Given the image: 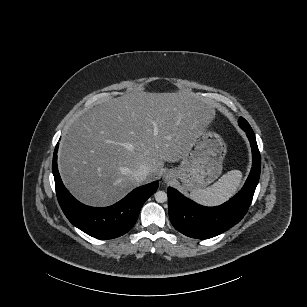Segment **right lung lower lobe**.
Listing matches in <instances>:
<instances>
[{"instance_id":"1","label":"right lung lower lobe","mask_w":307,"mask_h":307,"mask_svg":"<svg viewBox=\"0 0 307 307\" xmlns=\"http://www.w3.org/2000/svg\"><path fill=\"white\" fill-rule=\"evenodd\" d=\"M57 149L53 155L52 171L59 204L68 220L86 234L98 239H112L128 232L136 223L144 202L156 192L157 181L138 187L118 203L104 208L86 206L65 188L57 168Z\"/></svg>"}]
</instances>
